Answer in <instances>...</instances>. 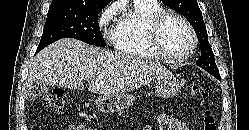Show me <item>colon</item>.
Returning <instances> with one entry per match:
<instances>
[{"label":"colon","mask_w":249,"mask_h":130,"mask_svg":"<svg viewBox=\"0 0 249 130\" xmlns=\"http://www.w3.org/2000/svg\"><path fill=\"white\" fill-rule=\"evenodd\" d=\"M190 92L192 95L199 97L201 101V114L203 117L204 130H217L215 119L211 111L207 108L208 91L198 82L194 81L190 85ZM65 94L62 89H54L43 97V104L57 112L63 110L65 105Z\"/></svg>","instance_id":"colon-1"}]
</instances>
